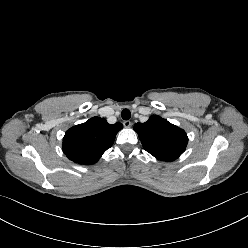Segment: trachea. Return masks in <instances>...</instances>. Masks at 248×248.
Masks as SVG:
<instances>
[{
    "label": "trachea",
    "mask_w": 248,
    "mask_h": 248,
    "mask_svg": "<svg viewBox=\"0 0 248 248\" xmlns=\"http://www.w3.org/2000/svg\"><path fill=\"white\" fill-rule=\"evenodd\" d=\"M121 117H122V119H124V120H129L130 117H131V112H130L128 109H124V110L121 112Z\"/></svg>",
    "instance_id": "trachea-1"
}]
</instances>
